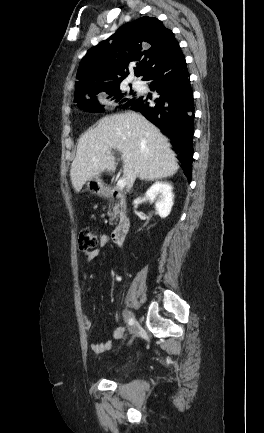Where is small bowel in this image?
<instances>
[{"mask_svg": "<svg viewBox=\"0 0 264 433\" xmlns=\"http://www.w3.org/2000/svg\"><path fill=\"white\" fill-rule=\"evenodd\" d=\"M108 244H110L109 238L106 236H103L100 238L99 243H98L96 248L85 252V254H84L85 260H84L82 270H81L82 278H84V279L86 278L87 266L89 264H91L94 260H96V258L100 254L101 248L105 247ZM84 324H85L86 329H88V330L91 329L92 322L89 319V317H87V316L84 317ZM123 332H124L123 327L115 328L113 331V334H112V339L117 340V339L121 338L123 335ZM113 340H107V341L101 342V343H91L90 348H91L92 352H94L95 354L104 353V352L111 349Z\"/></svg>", "mask_w": 264, "mask_h": 433, "instance_id": "1", "label": "small bowel"}]
</instances>
